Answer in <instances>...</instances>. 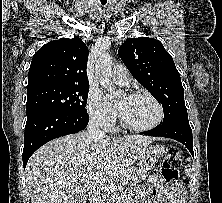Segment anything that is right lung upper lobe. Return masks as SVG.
Returning a JSON list of instances; mask_svg holds the SVG:
<instances>
[{
  "instance_id": "cb5924a9",
  "label": "right lung upper lobe",
  "mask_w": 222,
  "mask_h": 203,
  "mask_svg": "<svg viewBox=\"0 0 222 203\" xmlns=\"http://www.w3.org/2000/svg\"><path fill=\"white\" fill-rule=\"evenodd\" d=\"M88 48L83 41L61 38L51 41L33 56L27 90L56 85H89Z\"/></svg>"
}]
</instances>
